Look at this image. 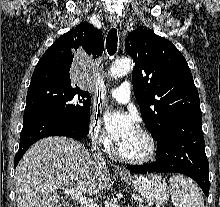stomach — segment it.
Listing matches in <instances>:
<instances>
[{
    "label": "stomach",
    "instance_id": "1",
    "mask_svg": "<svg viewBox=\"0 0 220 207\" xmlns=\"http://www.w3.org/2000/svg\"><path fill=\"white\" fill-rule=\"evenodd\" d=\"M121 178L147 201L161 204L168 200L169 187L162 177L157 174L121 176Z\"/></svg>",
    "mask_w": 220,
    "mask_h": 207
}]
</instances>
